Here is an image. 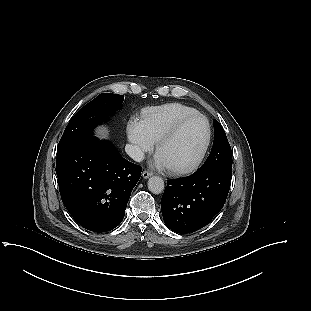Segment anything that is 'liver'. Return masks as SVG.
<instances>
[{"instance_id": "6515ba94", "label": "liver", "mask_w": 311, "mask_h": 311, "mask_svg": "<svg viewBox=\"0 0 311 311\" xmlns=\"http://www.w3.org/2000/svg\"><path fill=\"white\" fill-rule=\"evenodd\" d=\"M104 133H105L104 129H99L98 130V134H101V135H103L104 138H107V135L106 134L104 135Z\"/></svg>"}]
</instances>
